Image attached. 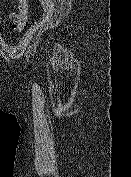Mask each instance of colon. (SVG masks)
Returning <instances> with one entry per match:
<instances>
[{
  "mask_svg": "<svg viewBox=\"0 0 131 177\" xmlns=\"http://www.w3.org/2000/svg\"><path fill=\"white\" fill-rule=\"evenodd\" d=\"M30 7L28 0H18L17 10L10 14V27L13 33H20L28 19H29Z\"/></svg>",
  "mask_w": 131,
  "mask_h": 177,
  "instance_id": "obj_1",
  "label": "colon"
}]
</instances>
